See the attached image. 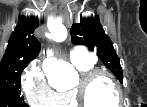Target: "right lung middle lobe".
<instances>
[{
    "label": "right lung middle lobe",
    "instance_id": "1",
    "mask_svg": "<svg viewBox=\"0 0 147 107\" xmlns=\"http://www.w3.org/2000/svg\"><path fill=\"white\" fill-rule=\"evenodd\" d=\"M26 66L0 76V107H28L20 96L21 72Z\"/></svg>",
    "mask_w": 147,
    "mask_h": 107
}]
</instances>
